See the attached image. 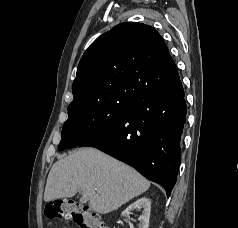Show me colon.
<instances>
[{
    "label": "colon",
    "mask_w": 238,
    "mask_h": 228,
    "mask_svg": "<svg viewBox=\"0 0 238 228\" xmlns=\"http://www.w3.org/2000/svg\"><path fill=\"white\" fill-rule=\"evenodd\" d=\"M50 219L73 220L80 228H106L101 217L72 199L57 200L45 208Z\"/></svg>",
    "instance_id": "5ec220e1"
}]
</instances>
